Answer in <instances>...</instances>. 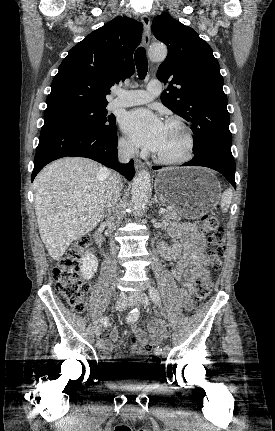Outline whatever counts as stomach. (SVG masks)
<instances>
[{"label":"stomach","instance_id":"stomach-1","mask_svg":"<svg viewBox=\"0 0 275 431\" xmlns=\"http://www.w3.org/2000/svg\"><path fill=\"white\" fill-rule=\"evenodd\" d=\"M155 189L180 216L196 219L218 203L221 187L214 174L200 167L167 168L158 172Z\"/></svg>","mask_w":275,"mask_h":431}]
</instances>
